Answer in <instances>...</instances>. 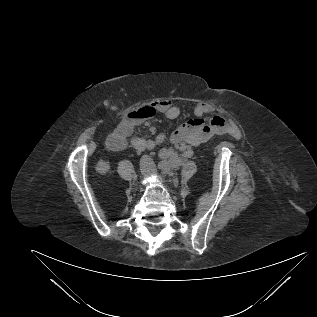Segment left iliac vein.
Returning <instances> with one entry per match:
<instances>
[{"label":"left iliac vein","instance_id":"left-iliac-vein-1","mask_svg":"<svg viewBox=\"0 0 317 317\" xmlns=\"http://www.w3.org/2000/svg\"><path fill=\"white\" fill-rule=\"evenodd\" d=\"M172 164L176 166V165H177V162H176V161H173ZM168 169H169V168H168ZM168 173L171 174V170H170V169L168 170Z\"/></svg>","mask_w":317,"mask_h":317}]
</instances>
